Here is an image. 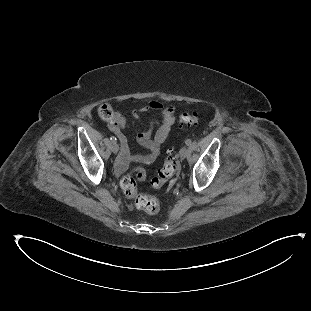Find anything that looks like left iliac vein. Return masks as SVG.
<instances>
[{"instance_id":"1","label":"left iliac vein","mask_w":311,"mask_h":311,"mask_svg":"<svg viewBox=\"0 0 311 311\" xmlns=\"http://www.w3.org/2000/svg\"><path fill=\"white\" fill-rule=\"evenodd\" d=\"M188 154V149L186 147H182L180 152H179V156L181 160H184L186 158Z\"/></svg>"}]
</instances>
